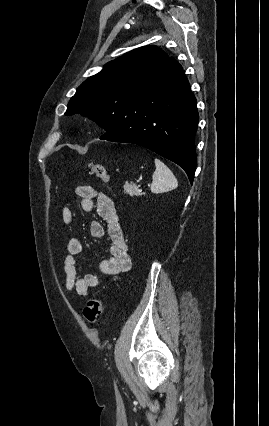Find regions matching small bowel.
Listing matches in <instances>:
<instances>
[{"label":"small bowel","instance_id":"obj_1","mask_svg":"<svg viewBox=\"0 0 269 426\" xmlns=\"http://www.w3.org/2000/svg\"><path fill=\"white\" fill-rule=\"evenodd\" d=\"M76 194L80 198L81 209L84 212H91L96 209L97 215L107 224V234L111 241V256L100 263L101 273L118 277L127 272L131 267V257L113 201L90 185L78 186ZM61 216L62 221L67 225L72 224L75 220L74 211L68 207L63 208ZM90 234L95 239H102L105 235L103 224L99 221H92ZM66 249L67 255L64 259L65 287L70 292L87 297L90 295L91 289L99 287L102 281L99 276L93 273H86L82 276L78 274L76 256L82 251L80 239L70 238L66 243Z\"/></svg>","mask_w":269,"mask_h":426}]
</instances>
